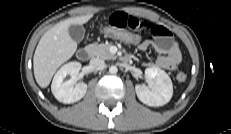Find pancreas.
Returning a JSON list of instances; mask_svg holds the SVG:
<instances>
[{
    "label": "pancreas",
    "instance_id": "pancreas-1",
    "mask_svg": "<svg viewBox=\"0 0 231 134\" xmlns=\"http://www.w3.org/2000/svg\"><path fill=\"white\" fill-rule=\"evenodd\" d=\"M110 46V43H93L88 46V50L93 56L100 57L103 59H115L116 56L110 52Z\"/></svg>",
    "mask_w": 231,
    "mask_h": 134
}]
</instances>
